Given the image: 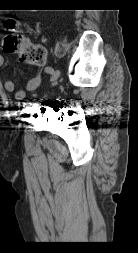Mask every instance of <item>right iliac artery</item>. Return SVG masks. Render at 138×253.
I'll return each instance as SVG.
<instances>
[{"instance_id":"obj_1","label":"right iliac artery","mask_w":138,"mask_h":253,"mask_svg":"<svg viewBox=\"0 0 138 253\" xmlns=\"http://www.w3.org/2000/svg\"><path fill=\"white\" fill-rule=\"evenodd\" d=\"M44 74H46V75H53L54 74V68L53 67H46V68H44Z\"/></svg>"}]
</instances>
